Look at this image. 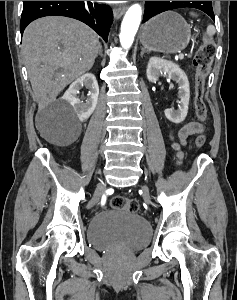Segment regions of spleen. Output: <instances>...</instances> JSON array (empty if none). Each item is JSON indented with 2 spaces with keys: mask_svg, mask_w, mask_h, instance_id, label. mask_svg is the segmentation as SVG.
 <instances>
[{
  "mask_svg": "<svg viewBox=\"0 0 237 300\" xmlns=\"http://www.w3.org/2000/svg\"><path fill=\"white\" fill-rule=\"evenodd\" d=\"M207 33H208V35H215V33H216L215 27H213V25H208Z\"/></svg>",
  "mask_w": 237,
  "mask_h": 300,
  "instance_id": "spleen-1",
  "label": "spleen"
}]
</instances>
